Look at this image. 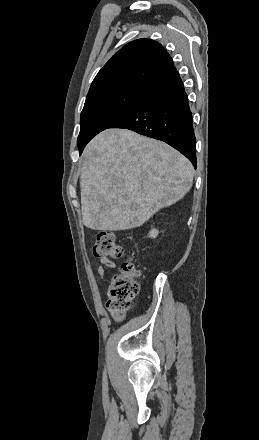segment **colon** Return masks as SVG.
<instances>
[{
  "label": "colon",
  "mask_w": 259,
  "mask_h": 440,
  "mask_svg": "<svg viewBox=\"0 0 259 440\" xmlns=\"http://www.w3.org/2000/svg\"><path fill=\"white\" fill-rule=\"evenodd\" d=\"M124 250L116 236L110 232H99L93 245V254L99 258H121ZM140 270L131 260L125 261L117 274L110 282L108 289L107 308L113 318L122 320L131 301L139 291L137 279L140 277Z\"/></svg>",
  "instance_id": "obj_1"
}]
</instances>
